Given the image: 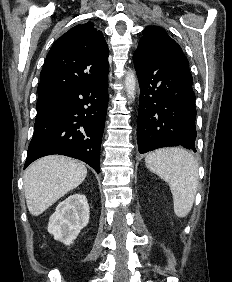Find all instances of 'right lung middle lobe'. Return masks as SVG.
Listing matches in <instances>:
<instances>
[{
    "label": "right lung middle lobe",
    "instance_id": "right-lung-middle-lobe-1",
    "mask_svg": "<svg viewBox=\"0 0 232 282\" xmlns=\"http://www.w3.org/2000/svg\"><path fill=\"white\" fill-rule=\"evenodd\" d=\"M63 97L55 93H38L36 119L49 113Z\"/></svg>",
    "mask_w": 232,
    "mask_h": 282
}]
</instances>
